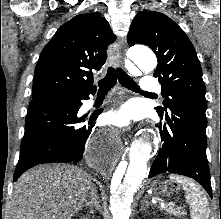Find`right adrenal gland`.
Here are the masks:
<instances>
[{
    "label": "right adrenal gland",
    "instance_id": "right-adrenal-gland-1",
    "mask_svg": "<svg viewBox=\"0 0 221 219\" xmlns=\"http://www.w3.org/2000/svg\"><path fill=\"white\" fill-rule=\"evenodd\" d=\"M92 192H95L96 193V190L95 189H92ZM86 206H88L90 208V213H93V206L92 205H89V202L86 201ZM96 207V206H94ZM97 208V207H96Z\"/></svg>",
    "mask_w": 221,
    "mask_h": 219
}]
</instances>
